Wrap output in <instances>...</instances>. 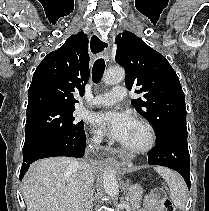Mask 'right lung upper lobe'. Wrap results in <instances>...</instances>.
<instances>
[{
    "label": "right lung upper lobe",
    "mask_w": 209,
    "mask_h": 211,
    "mask_svg": "<svg viewBox=\"0 0 209 211\" xmlns=\"http://www.w3.org/2000/svg\"><path fill=\"white\" fill-rule=\"evenodd\" d=\"M88 40L83 32L69 37L36 68L28 90L27 112L74 109L73 92L84 94L89 79Z\"/></svg>",
    "instance_id": "obj_1"
}]
</instances>
